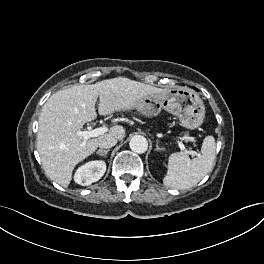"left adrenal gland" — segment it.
I'll return each instance as SVG.
<instances>
[{
  "label": "left adrenal gland",
  "instance_id": "a2214340",
  "mask_svg": "<svg viewBox=\"0 0 264 264\" xmlns=\"http://www.w3.org/2000/svg\"><path fill=\"white\" fill-rule=\"evenodd\" d=\"M155 150H157V151H162L163 150V148L159 147L158 142H156Z\"/></svg>",
  "mask_w": 264,
  "mask_h": 264
}]
</instances>
